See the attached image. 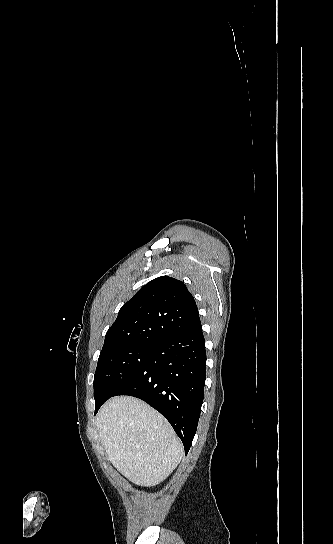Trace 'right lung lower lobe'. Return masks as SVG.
<instances>
[{
    "mask_svg": "<svg viewBox=\"0 0 333 544\" xmlns=\"http://www.w3.org/2000/svg\"><path fill=\"white\" fill-rule=\"evenodd\" d=\"M205 379V340L200 322L154 342L146 363L114 396H134L159 411L182 440L187 454L200 417Z\"/></svg>",
    "mask_w": 333,
    "mask_h": 544,
    "instance_id": "98d812e1",
    "label": "right lung lower lobe"
}]
</instances>
